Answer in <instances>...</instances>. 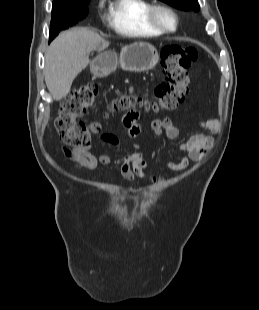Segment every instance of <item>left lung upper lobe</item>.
I'll list each match as a JSON object with an SVG mask.
<instances>
[{
	"label": "left lung upper lobe",
	"mask_w": 259,
	"mask_h": 310,
	"mask_svg": "<svg viewBox=\"0 0 259 310\" xmlns=\"http://www.w3.org/2000/svg\"><path fill=\"white\" fill-rule=\"evenodd\" d=\"M165 2L177 9H181L184 11L193 10L198 12L199 11V4L198 0H160Z\"/></svg>",
	"instance_id": "left-lung-upper-lobe-1"
}]
</instances>
